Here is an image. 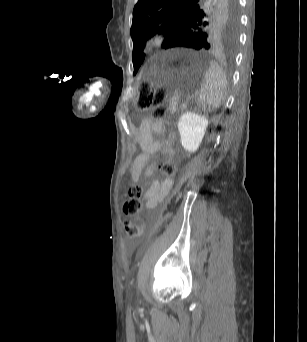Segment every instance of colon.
Returning <instances> with one entry per match:
<instances>
[{
	"instance_id": "5ec220e1",
	"label": "colon",
	"mask_w": 307,
	"mask_h": 342,
	"mask_svg": "<svg viewBox=\"0 0 307 342\" xmlns=\"http://www.w3.org/2000/svg\"><path fill=\"white\" fill-rule=\"evenodd\" d=\"M138 87L139 93L141 94L139 107L141 109L150 110L152 116L158 120L164 118L166 115L164 94L167 93V88H151L150 82H139ZM168 153L169 155H174L175 150L169 149ZM160 171L165 175H172L174 173V167L171 161H162ZM142 194L143 186L141 184H132L128 188V198L123 203V211L125 215L132 217V219L126 220L124 223L125 234L130 238H136L144 232V224L137 220L138 214L142 209Z\"/></svg>"
}]
</instances>
